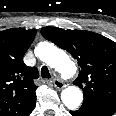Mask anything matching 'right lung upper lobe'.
I'll return each mask as SVG.
<instances>
[{
	"label": "right lung upper lobe",
	"instance_id": "1",
	"mask_svg": "<svg viewBox=\"0 0 116 116\" xmlns=\"http://www.w3.org/2000/svg\"><path fill=\"white\" fill-rule=\"evenodd\" d=\"M35 35L24 28L0 32V116H28L35 108L38 71L23 62Z\"/></svg>",
	"mask_w": 116,
	"mask_h": 116
}]
</instances>
